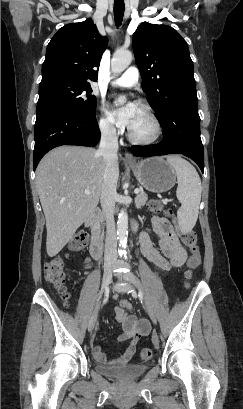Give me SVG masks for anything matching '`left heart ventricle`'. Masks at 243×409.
Returning <instances> with one entry per match:
<instances>
[{
	"label": "left heart ventricle",
	"instance_id": "left-heart-ventricle-1",
	"mask_svg": "<svg viewBox=\"0 0 243 409\" xmlns=\"http://www.w3.org/2000/svg\"><path fill=\"white\" fill-rule=\"evenodd\" d=\"M129 129L138 137H149L152 135V122L142 107L136 106V112Z\"/></svg>",
	"mask_w": 243,
	"mask_h": 409
}]
</instances>
